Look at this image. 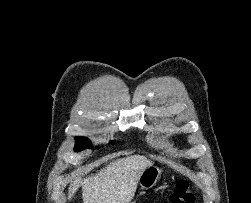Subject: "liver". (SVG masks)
I'll use <instances>...</instances> for the list:
<instances>
[{
    "label": "liver",
    "mask_w": 251,
    "mask_h": 203,
    "mask_svg": "<svg viewBox=\"0 0 251 203\" xmlns=\"http://www.w3.org/2000/svg\"><path fill=\"white\" fill-rule=\"evenodd\" d=\"M149 166L152 162L140 155L112 161L95 175L71 182L68 199L82 186L83 203H130L141 172Z\"/></svg>",
    "instance_id": "1"
}]
</instances>
